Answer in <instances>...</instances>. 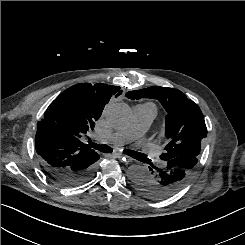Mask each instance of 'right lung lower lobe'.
Listing matches in <instances>:
<instances>
[{
  "label": "right lung lower lobe",
  "mask_w": 245,
  "mask_h": 245,
  "mask_svg": "<svg viewBox=\"0 0 245 245\" xmlns=\"http://www.w3.org/2000/svg\"><path fill=\"white\" fill-rule=\"evenodd\" d=\"M98 159L99 157L76 163L66 168H53L42 162L41 164L48 176L60 185L76 187L86 183L94 176Z\"/></svg>",
  "instance_id": "obj_1"
}]
</instances>
